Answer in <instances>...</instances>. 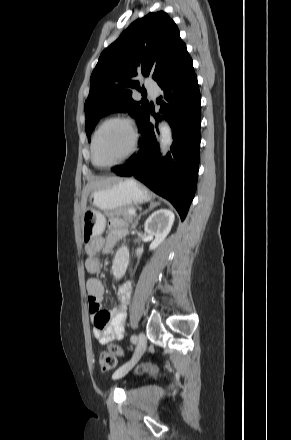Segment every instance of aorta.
<instances>
[{
  "instance_id": "aorta-1",
  "label": "aorta",
  "mask_w": 291,
  "mask_h": 440,
  "mask_svg": "<svg viewBox=\"0 0 291 440\" xmlns=\"http://www.w3.org/2000/svg\"><path fill=\"white\" fill-rule=\"evenodd\" d=\"M160 132V148L162 155H165L173 142L172 131L168 123L162 122L159 125ZM128 248L127 246H122L116 253L115 257V274L121 275L127 268L128 265Z\"/></svg>"
}]
</instances>
